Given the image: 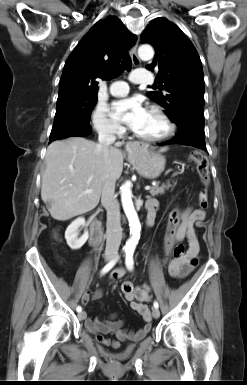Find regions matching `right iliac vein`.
<instances>
[{"label":"right iliac vein","instance_id":"obj_1","mask_svg":"<svg viewBox=\"0 0 247 385\" xmlns=\"http://www.w3.org/2000/svg\"><path fill=\"white\" fill-rule=\"evenodd\" d=\"M109 260V259H108ZM78 317H79V319L80 320H84L85 318H86V313L83 311V312H80L79 314H78Z\"/></svg>","mask_w":247,"mask_h":385}]
</instances>
